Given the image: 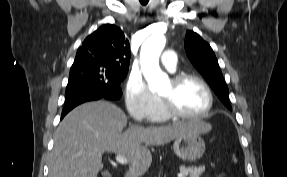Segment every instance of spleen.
I'll list each match as a JSON object with an SVG mask.
<instances>
[{"instance_id": "spleen-1", "label": "spleen", "mask_w": 287, "mask_h": 177, "mask_svg": "<svg viewBox=\"0 0 287 177\" xmlns=\"http://www.w3.org/2000/svg\"><path fill=\"white\" fill-rule=\"evenodd\" d=\"M233 158H234V161L236 162V158L233 156Z\"/></svg>"}]
</instances>
